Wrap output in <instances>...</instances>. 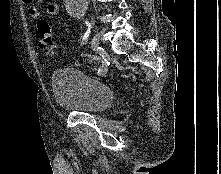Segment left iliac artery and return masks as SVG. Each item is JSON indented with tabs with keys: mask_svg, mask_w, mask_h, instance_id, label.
Instances as JSON below:
<instances>
[{
	"mask_svg": "<svg viewBox=\"0 0 221 174\" xmlns=\"http://www.w3.org/2000/svg\"><path fill=\"white\" fill-rule=\"evenodd\" d=\"M86 26H87V30L84 33V35L82 36V38H81V44H84V43L87 42L88 37H89V35L91 33V25H90V23L86 22ZM88 57L99 63L100 66H99L98 71H97V73L99 75H104V74H106L108 72L109 62H107L106 59H102V58H100L98 56H95V55H88Z\"/></svg>",
	"mask_w": 221,
	"mask_h": 174,
	"instance_id": "1",
	"label": "left iliac artery"
}]
</instances>
